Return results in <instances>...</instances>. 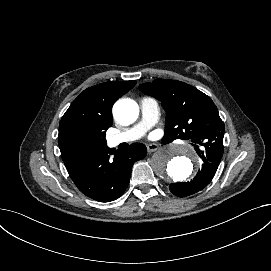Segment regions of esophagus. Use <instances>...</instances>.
Instances as JSON below:
<instances>
[{"mask_svg":"<svg viewBox=\"0 0 271 271\" xmlns=\"http://www.w3.org/2000/svg\"><path fill=\"white\" fill-rule=\"evenodd\" d=\"M146 147H147L148 152H155L159 148L158 144H156V143H149V144H147Z\"/></svg>","mask_w":271,"mask_h":271,"instance_id":"1","label":"esophagus"}]
</instances>
